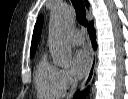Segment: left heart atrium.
Wrapping results in <instances>:
<instances>
[{
    "mask_svg": "<svg viewBox=\"0 0 128 99\" xmlns=\"http://www.w3.org/2000/svg\"><path fill=\"white\" fill-rule=\"evenodd\" d=\"M90 55L87 50L81 49L74 53L72 67L77 77H83L90 67Z\"/></svg>",
    "mask_w": 128,
    "mask_h": 99,
    "instance_id": "left-heart-atrium-1",
    "label": "left heart atrium"
}]
</instances>
